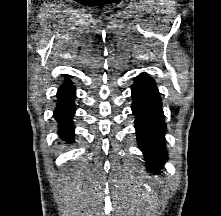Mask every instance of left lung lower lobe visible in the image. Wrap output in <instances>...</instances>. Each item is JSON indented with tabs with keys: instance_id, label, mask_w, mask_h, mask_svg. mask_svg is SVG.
I'll list each match as a JSON object with an SVG mask.
<instances>
[{
	"instance_id": "left-lung-lower-lobe-1",
	"label": "left lung lower lobe",
	"mask_w": 221,
	"mask_h": 216,
	"mask_svg": "<svg viewBox=\"0 0 221 216\" xmlns=\"http://www.w3.org/2000/svg\"><path fill=\"white\" fill-rule=\"evenodd\" d=\"M132 98L138 146L150 161L147 168L158 171L160 165L167 160L166 124L160 94L148 74L141 73L135 78Z\"/></svg>"
}]
</instances>
